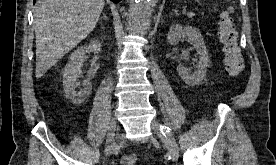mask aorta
<instances>
[{"instance_id":"762f6f07","label":"aorta","mask_w":276,"mask_h":165,"mask_svg":"<svg viewBox=\"0 0 276 165\" xmlns=\"http://www.w3.org/2000/svg\"><path fill=\"white\" fill-rule=\"evenodd\" d=\"M158 0H130L129 29L136 34H146L150 28L153 8Z\"/></svg>"}]
</instances>
